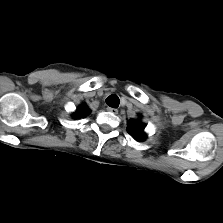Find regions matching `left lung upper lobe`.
<instances>
[{
	"label": "left lung upper lobe",
	"instance_id": "1",
	"mask_svg": "<svg viewBox=\"0 0 223 223\" xmlns=\"http://www.w3.org/2000/svg\"><path fill=\"white\" fill-rule=\"evenodd\" d=\"M129 123L130 125L127 127L128 133L134 136L137 140H144V138H146V134L144 132L145 125L133 119H131Z\"/></svg>",
	"mask_w": 223,
	"mask_h": 223
}]
</instances>
